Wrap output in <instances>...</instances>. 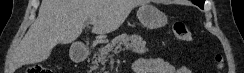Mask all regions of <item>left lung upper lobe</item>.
Instances as JSON below:
<instances>
[{
    "instance_id": "obj_1",
    "label": "left lung upper lobe",
    "mask_w": 244,
    "mask_h": 73,
    "mask_svg": "<svg viewBox=\"0 0 244 73\" xmlns=\"http://www.w3.org/2000/svg\"><path fill=\"white\" fill-rule=\"evenodd\" d=\"M204 2H205V0H193V3L198 5L201 8L204 7Z\"/></svg>"
}]
</instances>
